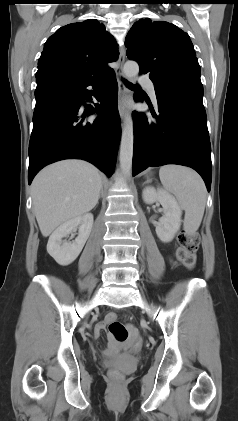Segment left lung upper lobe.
<instances>
[{
    "label": "left lung upper lobe",
    "instance_id": "obj_1",
    "mask_svg": "<svg viewBox=\"0 0 238 421\" xmlns=\"http://www.w3.org/2000/svg\"><path fill=\"white\" fill-rule=\"evenodd\" d=\"M127 57L138 62L155 86L200 79V65L190 37L177 26L149 18L135 22L126 36Z\"/></svg>",
    "mask_w": 238,
    "mask_h": 421
}]
</instances>
